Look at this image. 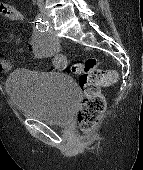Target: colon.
I'll return each mask as SVG.
<instances>
[{"instance_id": "obj_1", "label": "colon", "mask_w": 143, "mask_h": 170, "mask_svg": "<svg viewBox=\"0 0 143 170\" xmlns=\"http://www.w3.org/2000/svg\"><path fill=\"white\" fill-rule=\"evenodd\" d=\"M59 69L66 68V62L57 57ZM70 72L79 77L83 92L82 103L78 112V123L82 131L92 129L102 118L105 111V100L100 92L101 87L117 82V73L112 69H102L96 58L87 59L70 67Z\"/></svg>"}]
</instances>
